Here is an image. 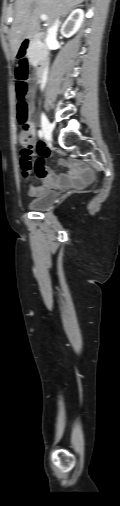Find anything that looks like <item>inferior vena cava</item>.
Here are the masks:
<instances>
[{
    "label": "inferior vena cava",
    "instance_id": "1",
    "mask_svg": "<svg viewBox=\"0 0 120 506\" xmlns=\"http://www.w3.org/2000/svg\"><path fill=\"white\" fill-rule=\"evenodd\" d=\"M59 24H60L59 20H56L55 23L51 27H49V29L47 30L46 44L49 49L52 48L53 44L56 41ZM47 72H48V68L46 67L43 71V76H42V85H41L42 89L44 88V84H45L46 77H47Z\"/></svg>",
    "mask_w": 120,
    "mask_h": 506
}]
</instances>
